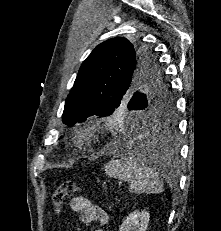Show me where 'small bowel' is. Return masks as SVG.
Instances as JSON below:
<instances>
[{"label":"small bowel","instance_id":"small-bowel-1","mask_svg":"<svg viewBox=\"0 0 221 231\" xmlns=\"http://www.w3.org/2000/svg\"><path fill=\"white\" fill-rule=\"evenodd\" d=\"M71 208L73 211L80 213V220L85 224L93 222L104 226L108 222L107 212L99 206L94 205L85 197H75L72 199ZM95 231H103L102 228H97Z\"/></svg>","mask_w":221,"mask_h":231}]
</instances>
